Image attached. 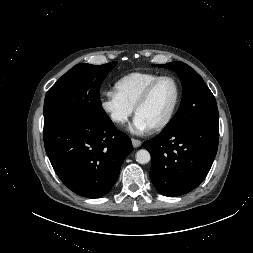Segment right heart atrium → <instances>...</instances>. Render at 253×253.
I'll return each mask as SVG.
<instances>
[{
	"label": "right heart atrium",
	"mask_w": 253,
	"mask_h": 253,
	"mask_svg": "<svg viewBox=\"0 0 253 253\" xmlns=\"http://www.w3.org/2000/svg\"><path fill=\"white\" fill-rule=\"evenodd\" d=\"M100 106L110 120L117 125H123L133 112V109L114 91H107L101 95Z\"/></svg>",
	"instance_id": "obj_1"
}]
</instances>
